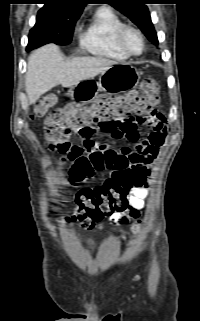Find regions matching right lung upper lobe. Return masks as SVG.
<instances>
[{"label": "right lung upper lobe", "mask_w": 200, "mask_h": 321, "mask_svg": "<svg viewBox=\"0 0 200 321\" xmlns=\"http://www.w3.org/2000/svg\"><path fill=\"white\" fill-rule=\"evenodd\" d=\"M90 0H44V8L56 15L82 12Z\"/></svg>", "instance_id": "cb5924a9"}]
</instances>
